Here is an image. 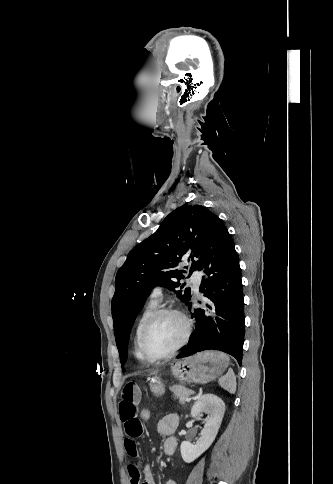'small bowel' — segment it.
I'll use <instances>...</instances> for the list:
<instances>
[{
  "label": "small bowel",
  "mask_w": 333,
  "mask_h": 484,
  "mask_svg": "<svg viewBox=\"0 0 333 484\" xmlns=\"http://www.w3.org/2000/svg\"><path fill=\"white\" fill-rule=\"evenodd\" d=\"M141 399V390L136 383H127L121 392V400L118 405L119 418L124 424L126 439L124 441L127 454L132 458H138L136 438L143 432L137 406ZM178 426V417L176 414H168L161 418L157 425L158 432L165 437L163 451L166 455L171 456L177 449V440L174 432ZM130 484H156L152 467L149 463H144L142 467L143 480L138 464L133 462L128 465ZM165 484H176L173 480H168Z\"/></svg>",
  "instance_id": "obj_1"
}]
</instances>
